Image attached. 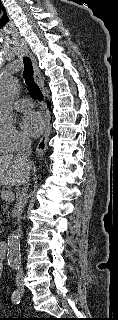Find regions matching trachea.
<instances>
[{
	"label": "trachea",
	"instance_id": "trachea-1",
	"mask_svg": "<svg viewBox=\"0 0 118 320\" xmlns=\"http://www.w3.org/2000/svg\"><path fill=\"white\" fill-rule=\"evenodd\" d=\"M23 63H24L23 77L27 85V89L30 93V96L39 101L43 100V94L33 78L34 71H33V65H32L31 59L29 57H24Z\"/></svg>",
	"mask_w": 118,
	"mask_h": 320
}]
</instances>
